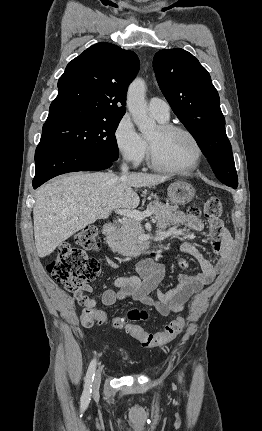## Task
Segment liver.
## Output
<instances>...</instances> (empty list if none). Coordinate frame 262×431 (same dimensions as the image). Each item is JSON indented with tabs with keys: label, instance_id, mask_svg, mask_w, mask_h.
Here are the masks:
<instances>
[{
	"label": "liver",
	"instance_id": "1",
	"mask_svg": "<svg viewBox=\"0 0 262 431\" xmlns=\"http://www.w3.org/2000/svg\"><path fill=\"white\" fill-rule=\"evenodd\" d=\"M167 179L147 173L86 172L64 175L41 186L33 208L38 256H48L74 233L108 218L112 210L135 209L140 198L133 187L155 186ZM86 207L89 210L84 211Z\"/></svg>",
	"mask_w": 262,
	"mask_h": 431
}]
</instances>
